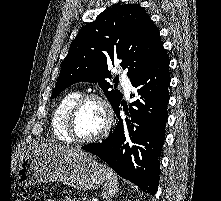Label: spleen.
Here are the masks:
<instances>
[{
	"mask_svg": "<svg viewBox=\"0 0 221 201\" xmlns=\"http://www.w3.org/2000/svg\"><path fill=\"white\" fill-rule=\"evenodd\" d=\"M102 166L106 174V183L104 185L102 194L104 198L109 199L118 192V178L115 172H113V170H111L108 166Z\"/></svg>",
	"mask_w": 221,
	"mask_h": 201,
	"instance_id": "3e777b00",
	"label": "spleen"
}]
</instances>
